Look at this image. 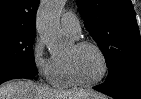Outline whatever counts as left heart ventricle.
Wrapping results in <instances>:
<instances>
[{
    "mask_svg": "<svg viewBox=\"0 0 141 99\" xmlns=\"http://www.w3.org/2000/svg\"><path fill=\"white\" fill-rule=\"evenodd\" d=\"M66 58L72 60L78 77L83 81H93L102 73V60L98 52L91 47L78 49L73 46Z\"/></svg>",
    "mask_w": 141,
    "mask_h": 99,
    "instance_id": "obj_1",
    "label": "left heart ventricle"
}]
</instances>
